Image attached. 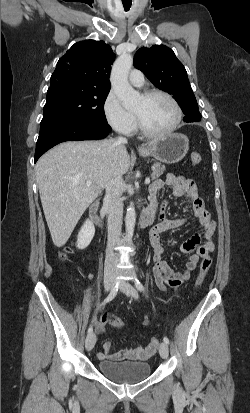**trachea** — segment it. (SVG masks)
Returning <instances> with one entry per match:
<instances>
[{
  "instance_id": "obj_1",
  "label": "trachea",
  "mask_w": 250,
  "mask_h": 413,
  "mask_svg": "<svg viewBox=\"0 0 250 413\" xmlns=\"http://www.w3.org/2000/svg\"><path fill=\"white\" fill-rule=\"evenodd\" d=\"M125 11H128L131 7V3H123Z\"/></svg>"
}]
</instances>
